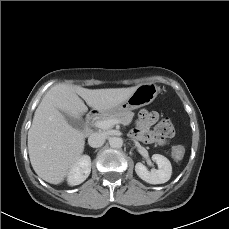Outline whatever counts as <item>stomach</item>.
<instances>
[{"label": "stomach", "mask_w": 229, "mask_h": 229, "mask_svg": "<svg viewBox=\"0 0 229 229\" xmlns=\"http://www.w3.org/2000/svg\"><path fill=\"white\" fill-rule=\"evenodd\" d=\"M159 92L160 87L153 82L141 84L127 100L118 106L103 111L102 114L108 115L138 109L153 102Z\"/></svg>", "instance_id": "stomach-1"}]
</instances>
